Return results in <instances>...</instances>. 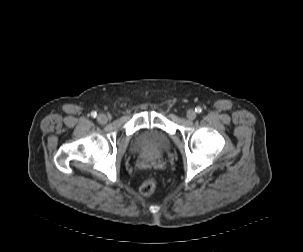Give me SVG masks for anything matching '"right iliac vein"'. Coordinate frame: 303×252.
<instances>
[{"label": "right iliac vein", "instance_id": "63e3f726", "mask_svg": "<svg viewBox=\"0 0 303 252\" xmlns=\"http://www.w3.org/2000/svg\"><path fill=\"white\" fill-rule=\"evenodd\" d=\"M97 121H98L100 124H105V123H107V121H108V117H107L106 114L100 113V114L97 116Z\"/></svg>", "mask_w": 303, "mask_h": 252}]
</instances>
